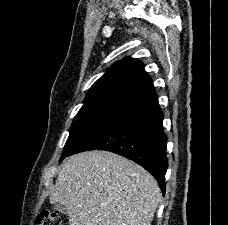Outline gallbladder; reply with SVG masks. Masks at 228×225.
Instances as JSON below:
<instances>
[{
    "mask_svg": "<svg viewBox=\"0 0 228 225\" xmlns=\"http://www.w3.org/2000/svg\"><path fill=\"white\" fill-rule=\"evenodd\" d=\"M54 209H56V211H60V213H66V207L59 205V203H55Z\"/></svg>",
    "mask_w": 228,
    "mask_h": 225,
    "instance_id": "gallbladder-1",
    "label": "gallbladder"
}]
</instances>
